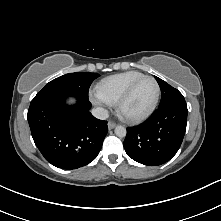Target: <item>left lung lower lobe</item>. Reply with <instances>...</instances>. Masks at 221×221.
<instances>
[{"label":"left lung lower lobe","instance_id":"1","mask_svg":"<svg viewBox=\"0 0 221 221\" xmlns=\"http://www.w3.org/2000/svg\"><path fill=\"white\" fill-rule=\"evenodd\" d=\"M187 124L186 102L159 107L139 126L127 128L124 148L127 155L144 165H161L179 150Z\"/></svg>","mask_w":221,"mask_h":221}]
</instances>
